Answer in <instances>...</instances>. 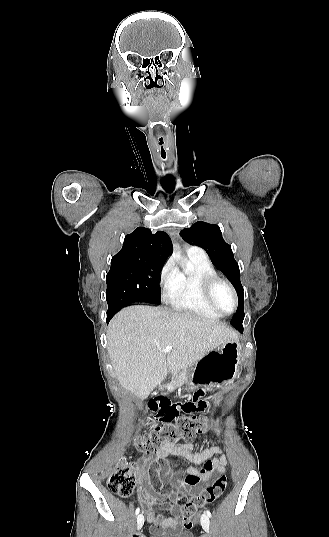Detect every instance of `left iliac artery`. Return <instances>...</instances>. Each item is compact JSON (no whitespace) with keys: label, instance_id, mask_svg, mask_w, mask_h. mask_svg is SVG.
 <instances>
[{"label":"left iliac artery","instance_id":"obj_1","mask_svg":"<svg viewBox=\"0 0 329 537\" xmlns=\"http://www.w3.org/2000/svg\"><path fill=\"white\" fill-rule=\"evenodd\" d=\"M206 514H207L209 517L212 516V515H211V512H210L209 510H206Z\"/></svg>","mask_w":329,"mask_h":537}]
</instances>
